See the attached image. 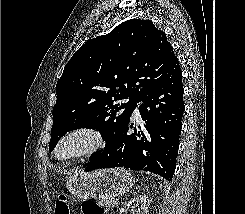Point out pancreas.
<instances>
[{
  "instance_id": "obj_1",
  "label": "pancreas",
  "mask_w": 245,
  "mask_h": 214,
  "mask_svg": "<svg viewBox=\"0 0 245 214\" xmlns=\"http://www.w3.org/2000/svg\"><path fill=\"white\" fill-rule=\"evenodd\" d=\"M101 205H104L106 207H113V200L112 199H104L100 201Z\"/></svg>"
}]
</instances>
